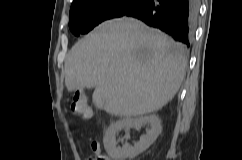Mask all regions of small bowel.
I'll return each instance as SVG.
<instances>
[{"instance_id":"c3829d8e","label":"small bowel","mask_w":242,"mask_h":160,"mask_svg":"<svg viewBox=\"0 0 242 160\" xmlns=\"http://www.w3.org/2000/svg\"><path fill=\"white\" fill-rule=\"evenodd\" d=\"M94 149L100 154L101 150L99 147L95 146ZM105 160H110L107 156H104Z\"/></svg>"}]
</instances>
